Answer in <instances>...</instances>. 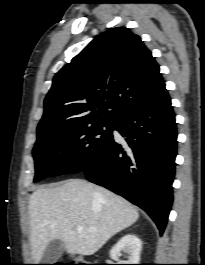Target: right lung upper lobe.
<instances>
[{"mask_svg":"<svg viewBox=\"0 0 205 265\" xmlns=\"http://www.w3.org/2000/svg\"><path fill=\"white\" fill-rule=\"evenodd\" d=\"M164 90L159 65L141 38L128 28H112L54 76L37 131L116 122L147 106Z\"/></svg>","mask_w":205,"mask_h":265,"instance_id":"obj_1","label":"right lung upper lobe"}]
</instances>
